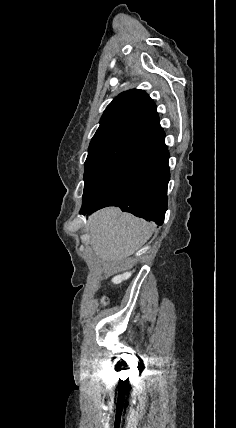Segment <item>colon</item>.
<instances>
[{"instance_id": "5ec220e1", "label": "colon", "mask_w": 236, "mask_h": 428, "mask_svg": "<svg viewBox=\"0 0 236 428\" xmlns=\"http://www.w3.org/2000/svg\"><path fill=\"white\" fill-rule=\"evenodd\" d=\"M101 302H102V304H103V305H106V304L108 303V300H107L106 298H103V299L101 300Z\"/></svg>"}]
</instances>
